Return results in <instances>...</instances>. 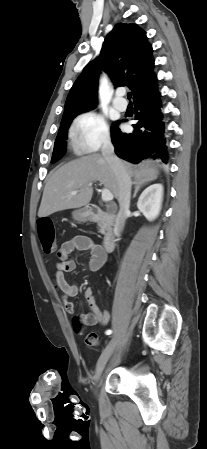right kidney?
<instances>
[{
    "instance_id": "1",
    "label": "right kidney",
    "mask_w": 207,
    "mask_h": 449,
    "mask_svg": "<svg viewBox=\"0 0 207 449\" xmlns=\"http://www.w3.org/2000/svg\"><path fill=\"white\" fill-rule=\"evenodd\" d=\"M163 199V185L153 184L140 195L137 207L147 220L153 221L160 213Z\"/></svg>"
}]
</instances>
